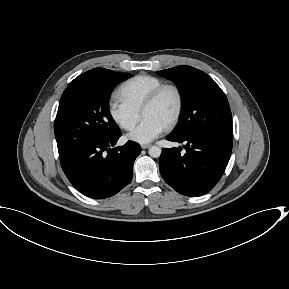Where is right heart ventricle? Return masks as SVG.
Wrapping results in <instances>:
<instances>
[{"label":"right heart ventricle","instance_id":"1","mask_svg":"<svg viewBox=\"0 0 289 289\" xmlns=\"http://www.w3.org/2000/svg\"><path fill=\"white\" fill-rule=\"evenodd\" d=\"M163 83L164 81L156 76L139 74L125 81L117 90V96L122 102L141 112L149 94Z\"/></svg>","mask_w":289,"mask_h":289}]
</instances>
